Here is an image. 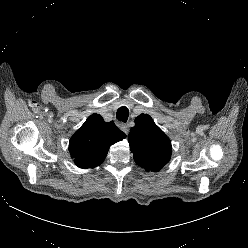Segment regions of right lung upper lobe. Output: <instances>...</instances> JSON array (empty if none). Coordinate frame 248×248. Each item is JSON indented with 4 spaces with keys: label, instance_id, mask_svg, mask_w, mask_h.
Listing matches in <instances>:
<instances>
[{
    "label": "right lung upper lobe",
    "instance_id": "1",
    "mask_svg": "<svg viewBox=\"0 0 248 248\" xmlns=\"http://www.w3.org/2000/svg\"><path fill=\"white\" fill-rule=\"evenodd\" d=\"M126 134L113 121L106 123L99 114H92L71 137L69 151L80 168H94L105 159L111 145Z\"/></svg>",
    "mask_w": 248,
    "mask_h": 248
}]
</instances>
